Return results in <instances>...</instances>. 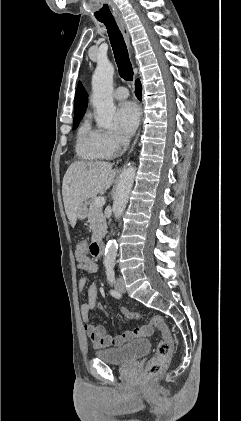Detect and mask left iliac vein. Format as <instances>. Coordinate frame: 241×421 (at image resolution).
<instances>
[{
    "mask_svg": "<svg viewBox=\"0 0 241 421\" xmlns=\"http://www.w3.org/2000/svg\"><path fill=\"white\" fill-rule=\"evenodd\" d=\"M114 286L118 292L125 293V284H124V280L121 277L116 279Z\"/></svg>",
    "mask_w": 241,
    "mask_h": 421,
    "instance_id": "1",
    "label": "left iliac vein"
}]
</instances>
